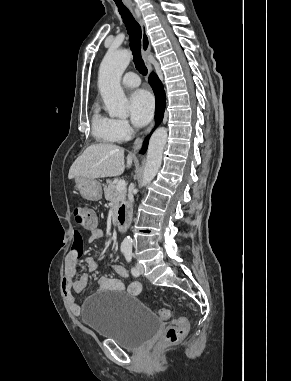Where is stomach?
<instances>
[{"mask_svg": "<svg viewBox=\"0 0 291 381\" xmlns=\"http://www.w3.org/2000/svg\"><path fill=\"white\" fill-rule=\"evenodd\" d=\"M75 182L83 198L90 201H98L102 198V188L97 180L86 177H76Z\"/></svg>", "mask_w": 291, "mask_h": 381, "instance_id": "0dacf381", "label": "stomach"}]
</instances>
